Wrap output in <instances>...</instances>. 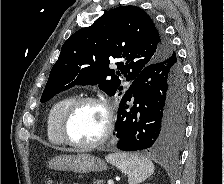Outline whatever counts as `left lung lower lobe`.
Listing matches in <instances>:
<instances>
[{"instance_id": "obj_1", "label": "left lung lower lobe", "mask_w": 224, "mask_h": 184, "mask_svg": "<svg viewBox=\"0 0 224 184\" xmlns=\"http://www.w3.org/2000/svg\"><path fill=\"white\" fill-rule=\"evenodd\" d=\"M185 114V78L172 55L146 66L122 97L115 124L117 148L171 153L181 143Z\"/></svg>"}]
</instances>
